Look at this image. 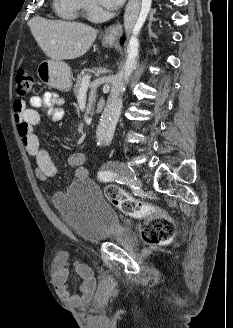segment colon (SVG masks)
<instances>
[{"label":"colon","mask_w":233,"mask_h":328,"mask_svg":"<svg viewBox=\"0 0 233 328\" xmlns=\"http://www.w3.org/2000/svg\"><path fill=\"white\" fill-rule=\"evenodd\" d=\"M34 87L33 74L20 68L15 76V92L18 96L28 95ZM107 199L116 206L122 213L135 217L147 218V224L142 231L143 239L151 244H163L172 239L175 234V224L171 217L165 214H158L157 209L132 196L125 190L109 185L105 188Z\"/></svg>","instance_id":"obj_1"}]
</instances>
